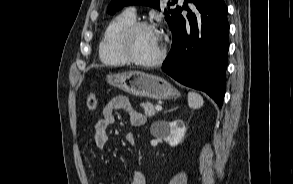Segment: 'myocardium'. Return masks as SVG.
<instances>
[{
    "label": "myocardium",
    "instance_id": "f54148a6",
    "mask_svg": "<svg viewBox=\"0 0 293 184\" xmlns=\"http://www.w3.org/2000/svg\"><path fill=\"white\" fill-rule=\"evenodd\" d=\"M150 29L155 31L159 35L158 29L147 21H134L129 26H127L120 35L118 41V48L121 55L132 64L143 66V67H153L159 65L166 57L167 47L164 41H162V48L159 55L152 60H140L136 58L131 51V42L134 34L140 29Z\"/></svg>",
    "mask_w": 293,
    "mask_h": 184
}]
</instances>
